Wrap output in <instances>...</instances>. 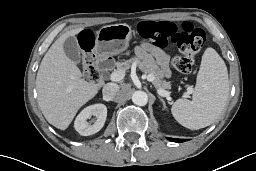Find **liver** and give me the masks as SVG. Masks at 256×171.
<instances>
[{
	"label": "liver",
	"mask_w": 256,
	"mask_h": 171,
	"mask_svg": "<svg viewBox=\"0 0 256 171\" xmlns=\"http://www.w3.org/2000/svg\"><path fill=\"white\" fill-rule=\"evenodd\" d=\"M83 28L62 34L43 57L36 77L38 104L54 127L68 128L77 111L98 93L99 85L82 79V73L63 50V43Z\"/></svg>",
	"instance_id": "obj_1"
}]
</instances>
